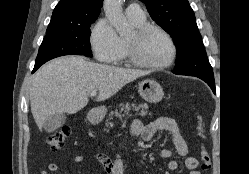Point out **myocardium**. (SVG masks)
<instances>
[{
  "label": "myocardium",
  "instance_id": "f54148a6",
  "mask_svg": "<svg viewBox=\"0 0 249 174\" xmlns=\"http://www.w3.org/2000/svg\"><path fill=\"white\" fill-rule=\"evenodd\" d=\"M154 31L159 32L160 34L165 36L166 39L171 44L172 55L170 59L165 63H161V64L149 63L143 60L139 55V48H140L142 41L149 33L154 32ZM125 50H126V55L132 64L138 67L151 69V70H160V69H165V68L170 67L174 63L177 57V52H178L177 45L173 37L162 27L154 25V24H150V23H146L133 30L131 35L126 38Z\"/></svg>",
  "mask_w": 249,
  "mask_h": 174
}]
</instances>
